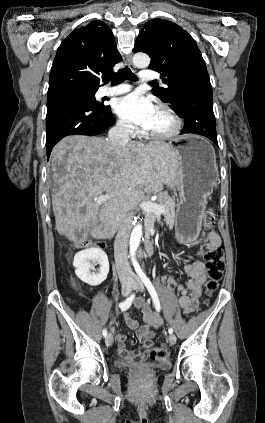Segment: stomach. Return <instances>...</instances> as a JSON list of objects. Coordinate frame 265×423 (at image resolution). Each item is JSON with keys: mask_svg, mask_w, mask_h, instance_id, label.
<instances>
[{"mask_svg": "<svg viewBox=\"0 0 265 423\" xmlns=\"http://www.w3.org/2000/svg\"><path fill=\"white\" fill-rule=\"evenodd\" d=\"M177 156L176 185L179 203L175 214V232L180 242L194 241L201 229L205 198L216 174L212 145L198 135H183L169 144Z\"/></svg>", "mask_w": 265, "mask_h": 423, "instance_id": "1", "label": "stomach"}]
</instances>
